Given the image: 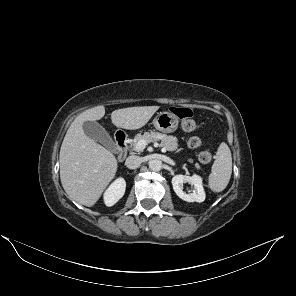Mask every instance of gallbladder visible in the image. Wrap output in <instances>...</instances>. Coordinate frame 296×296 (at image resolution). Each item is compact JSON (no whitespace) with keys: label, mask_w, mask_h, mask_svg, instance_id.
I'll return each instance as SVG.
<instances>
[{"label":"gallbladder","mask_w":296,"mask_h":296,"mask_svg":"<svg viewBox=\"0 0 296 296\" xmlns=\"http://www.w3.org/2000/svg\"><path fill=\"white\" fill-rule=\"evenodd\" d=\"M84 133L94 141L101 143L110 151L116 153L117 145L103 126L95 121H85L83 123Z\"/></svg>","instance_id":"bac80fb5"}]
</instances>
